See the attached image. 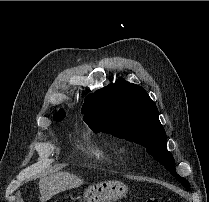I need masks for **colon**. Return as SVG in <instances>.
Masks as SVG:
<instances>
[{
  "mask_svg": "<svg viewBox=\"0 0 209 202\" xmlns=\"http://www.w3.org/2000/svg\"><path fill=\"white\" fill-rule=\"evenodd\" d=\"M144 202H160V201L157 200V199L150 198V199H147V200L144 201Z\"/></svg>",
  "mask_w": 209,
  "mask_h": 202,
  "instance_id": "obj_1",
  "label": "colon"
}]
</instances>
